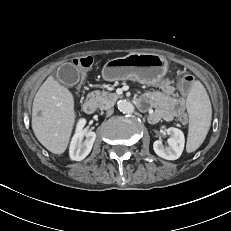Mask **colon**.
<instances>
[{"mask_svg": "<svg viewBox=\"0 0 231 231\" xmlns=\"http://www.w3.org/2000/svg\"><path fill=\"white\" fill-rule=\"evenodd\" d=\"M75 67L80 69L78 78L81 81H85L88 78V71L87 69L90 68L93 64V58L91 56H84L79 57L73 60ZM194 78L191 75L184 76L181 81L179 82V90L181 93H188L190 92L193 86ZM180 122L185 124L187 122L186 115L180 118Z\"/></svg>", "mask_w": 231, "mask_h": 231, "instance_id": "1", "label": "colon"}]
</instances>
